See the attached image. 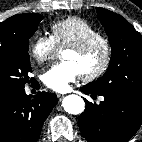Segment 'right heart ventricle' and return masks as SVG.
Returning a JSON list of instances; mask_svg holds the SVG:
<instances>
[{"label": "right heart ventricle", "mask_w": 142, "mask_h": 142, "mask_svg": "<svg viewBox=\"0 0 142 142\" xmlns=\"http://www.w3.org/2000/svg\"><path fill=\"white\" fill-rule=\"evenodd\" d=\"M51 32L58 48H67L91 40H105L96 27L79 17H69L54 23Z\"/></svg>", "instance_id": "obj_1"}]
</instances>
